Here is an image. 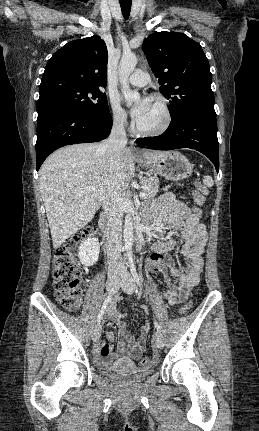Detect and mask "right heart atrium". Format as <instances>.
<instances>
[{"mask_svg": "<svg viewBox=\"0 0 259 431\" xmlns=\"http://www.w3.org/2000/svg\"><path fill=\"white\" fill-rule=\"evenodd\" d=\"M110 109L113 125L117 128H124L128 123V119L123 108L116 100H111Z\"/></svg>", "mask_w": 259, "mask_h": 431, "instance_id": "obj_1", "label": "right heart atrium"}]
</instances>
